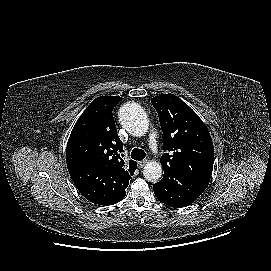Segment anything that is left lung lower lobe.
Returning a JSON list of instances; mask_svg holds the SVG:
<instances>
[{"label":"left lung lower lobe","instance_id":"obj_1","mask_svg":"<svg viewBox=\"0 0 271 271\" xmlns=\"http://www.w3.org/2000/svg\"><path fill=\"white\" fill-rule=\"evenodd\" d=\"M205 189L203 185L176 171L164 172L161 181L153 185L159 201L172 207L189 206Z\"/></svg>","mask_w":271,"mask_h":271}]
</instances>
